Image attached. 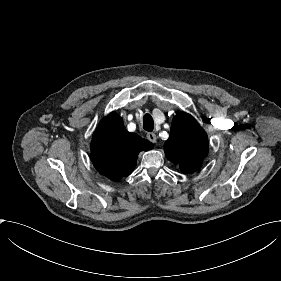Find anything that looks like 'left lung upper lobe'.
Masks as SVG:
<instances>
[{
    "label": "left lung upper lobe",
    "mask_w": 281,
    "mask_h": 281,
    "mask_svg": "<svg viewBox=\"0 0 281 281\" xmlns=\"http://www.w3.org/2000/svg\"><path fill=\"white\" fill-rule=\"evenodd\" d=\"M167 158L182 172L196 171L208 153L205 131L189 114H177L172 121L170 137L164 145Z\"/></svg>",
    "instance_id": "obj_1"
}]
</instances>
